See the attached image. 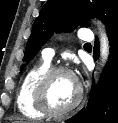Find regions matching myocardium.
I'll use <instances>...</instances> for the list:
<instances>
[{
	"instance_id": "obj_1",
	"label": "myocardium",
	"mask_w": 118,
	"mask_h": 123,
	"mask_svg": "<svg viewBox=\"0 0 118 123\" xmlns=\"http://www.w3.org/2000/svg\"><path fill=\"white\" fill-rule=\"evenodd\" d=\"M60 73L69 74L75 80L77 85V95L75 99L67 107L62 109L53 107L48 97L50 84L53 78ZM82 98H83L82 85L77 80L73 72L69 68L64 66L50 67L39 79L35 90V104L37 108L43 113H45V115H49L52 117H61L67 115L80 104Z\"/></svg>"
}]
</instances>
